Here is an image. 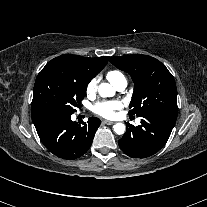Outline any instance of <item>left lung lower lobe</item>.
Returning a JSON list of instances; mask_svg holds the SVG:
<instances>
[{"label": "left lung lower lobe", "instance_id": "obj_1", "mask_svg": "<svg viewBox=\"0 0 207 207\" xmlns=\"http://www.w3.org/2000/svg\"><path fill=\"white\" fill-rule=\"evenodd\" d=\"M140 117L141 124L136 127L127 124V130L119 140L122 151L133 158H146L157 153L166 144L177 114L158 111Z\"/></svg>", "mask_w": 207, "mask_h": 207}]
</instances>
